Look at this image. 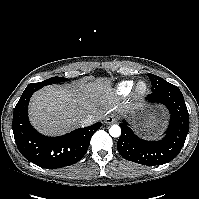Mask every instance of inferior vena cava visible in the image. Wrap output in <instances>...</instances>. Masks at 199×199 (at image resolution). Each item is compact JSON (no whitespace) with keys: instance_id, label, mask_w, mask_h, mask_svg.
I'll use <instances>...</instances> for the list:
<instances>
[{"instance_id":"obj_1","label":"inferior vena cava","mask_w":199,"mask_h":199,"mask_svg":"<svg viewBox=\"0 0 199 199\" xmlns=\"http://www.w3.org/2000/svg\"><path fill=\"white\" fill-rule=\"evenodd\" d=\"M98 119L93 115H87L80 121L81 126H89L95 123Z\"/></svg>"}]
</instances>
